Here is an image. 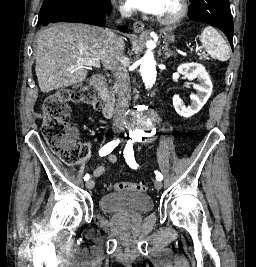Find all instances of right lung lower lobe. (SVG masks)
<instances>
[{
  "label": "right lung lower lobe",
  "mask_w": 256,
  "mask_h": 267,
  "mask_svg": "<svg viewBox=\"0 0 256 267\" xmlns=\"http://www.w3.org/2000/svg\"><path fill=\"white\" fill-rule=\"evenodd\" d=\"M111 12V3L99 6H90L79 14L69 13L63 10H54L48 12L42 18H39L38 25L46 26L49 23L56 22H80L96 26H104L106 23L105 16ZM125 29V27H122Z\"/></svg>",
  "instance_id": "obj_1"
}]
</instances>
